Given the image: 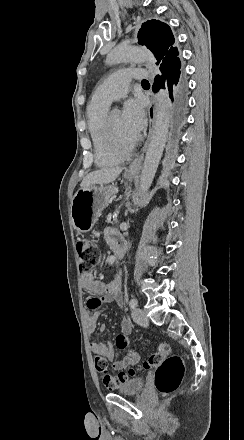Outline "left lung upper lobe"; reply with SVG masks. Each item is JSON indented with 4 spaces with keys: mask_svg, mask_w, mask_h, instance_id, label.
Returning a JSON list of instances; mask_svg holds the SVG:
<instances>
[{
    "mask_svg": "<svg viewBox=\"0 0 244 440\" xmlns=\"http://www.w3.org/2000/svg\"><path fill=\"white\" fill-rule=\"evenodd\" d=\"M138 43L150 49L160 67L171 64L178 57L177 47H173L174 37L170 27L158 20L142 24L138 33Z\"/></svg>",
    "mask_w": 244,
    "mask_h": 440,
    "instance_id": "obj_1",
    "label": "left lung upper lobe"
}]
</instances>
